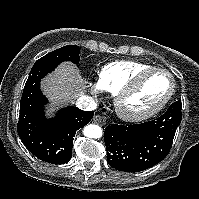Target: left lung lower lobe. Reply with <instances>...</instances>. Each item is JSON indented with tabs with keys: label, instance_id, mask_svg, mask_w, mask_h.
<instances>
[{
	"label": "left lung lower lobe",
	"instance_id": "1",
	"mask_svg": "<svg viewBox=\"0 0 199 199\" xmlns=\"http://www.w3.org/2000/svg\"><path fill=\"white\" fill-rule=\"evenodd\" d=\"M181 110V101H176L165 114L152 121L107 126L105 145L108 163L120 171L140 172L161 162L172 147L182 119Z\"/></svg>",
	"mask_w": 199,
	"mask_h": 199
}]
</instances>
